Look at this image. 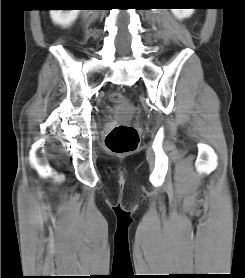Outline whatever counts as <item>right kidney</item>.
<instances>
[{
  "label": "right kidney",
  "instance_id": "ca27d5eb",
  "mask_svg": "<svg viewBox=\"0 0 245 278\" xmlns=\"http://www.w3.org/2000/svg\"><path fill=\"white\" fill-rule=\"evenodd\" d=\"M78 14L79 10H50L52 21L62 26H69Z\"/></svg>",
  "mask_w": 245,
  "mask_h": 278
}]
</instances>
